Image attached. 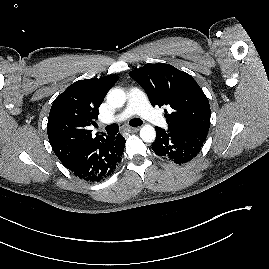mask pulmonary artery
Returning a JSON list of instances; mask_svg holds the SVG:
<instances>
[{"mask_svg":"<svg viewBox=\"0 0 269 269\" xmlns=\"http://www.w3.org/2000/svg\"><path fill=\"white\" fill-rule=\"evenodd\" d=\"M135 114L153 124L166 125L164 118L149 105L145 94L140 89L133 87L128 91V103L125 109L114 118V121H123Z\"/></svg>","mask_w":269,"mask_h":269,"instance_id":"1","label":"pulmonary artery"}]
</instances>
